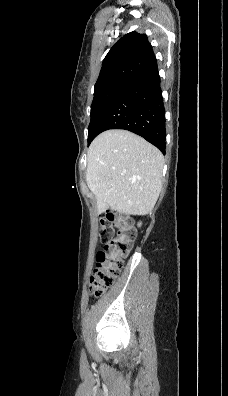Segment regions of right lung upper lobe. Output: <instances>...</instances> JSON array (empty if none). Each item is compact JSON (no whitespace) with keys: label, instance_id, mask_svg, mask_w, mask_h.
<instances>
[{"label":"right lung upper lobe","instance_id":"obj_1","mask_svg":"<svg viewBox=\"0 0 228 396\" xmlns=\"http://www.w3.org/2000/svg\"><path fill=\"white\" fill-rule=\"evenodd\" d=\"M155 62L147 36L130 32L119 39L104 58L95 88L110 83L130 84Z\"/></svg>","mask_w":228,"mask_h":396}]
</instances>
